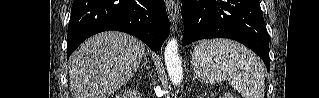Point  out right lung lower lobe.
I'll return each mask as SVG.
<instances>
[{"label": "right lung lower lobe", "mask_w": 319, "mask_h": 98, "mask_svg": "<svg viewBox=\"0 0 319 98\" xmlns=\"http://www.w3.org/2000/svg\"><path fill=\"white\" fill-rule=\"evenodd\" d=\"M108 30L131 34L158 51L170 32L164 0H74L67 58L85 39Z\"/></svg>", "instance_id": "98d812e1"}]
</instances>
